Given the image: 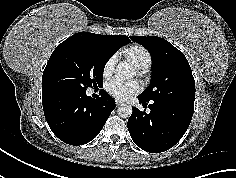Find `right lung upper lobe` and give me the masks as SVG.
<instances>
[{"mask_svg":"<svg viewBox=\"0 0 236 178\" xmlns=\"http://www.w3.org/2000/svg\"><path fill=\"white\" fill-rule=\"evenodd\" d=\"M73 42L105 44V45L118 46L120 48L121 46L129 43L130 39L126 35L105 36L94 33L80 32L72 35L71 37L63 41L61 44H59L57 47Z\"/></svg>","mask_w":236,"mask_h":178,"instance_id":"right-lung-upper-lobe-1","label":"right lung upper lobe"}]
</instances>
